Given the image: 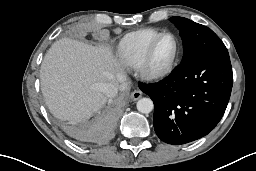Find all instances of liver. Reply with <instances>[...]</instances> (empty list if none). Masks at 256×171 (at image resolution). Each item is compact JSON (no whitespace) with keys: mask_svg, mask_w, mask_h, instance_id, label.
<instances>
[{"mask_svg":"<svg viewBox=\"0 0 256 171\" xmlns=\"http://www.w3.org/2000/svg\"><path fill=\"white\" fill-rule=\"evenodd\" d=\"M40 80L50 112L70 123L106 100L103 84L127 88L124 66L108 47H94L68 38L56 41L47 51Z\"/></svg>","mask_w":256,"mask_h":171,"instance_id":"liver-1","label":"liver"}]
</instances>
